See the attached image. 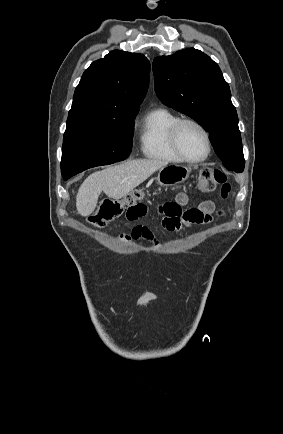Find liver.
<instances>
[{
  "mask_svg": "<svg viewBox=\"0 0 283 434\" xmlns=\"http://www.w3.org/2000/svg\"><path fill=\"white\" fill-rule=\"evenodd\" d=\"M160 160H130L89 175L81 184L76 196V208L81 216L95 210L103 191L108 197L119 200L143 183L155 171L167 166Z\"/></svg>",
  "mask_w": 283,
  "mask_h": 434,
  "instance_id": "1",
  "label": "liver"
}]
</instances>
